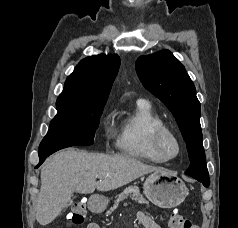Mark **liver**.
I'll return each mask as SVG.
<instances>
[{
	"label": "liver",
	"mask_w": 238,
	"mask_h": 228,
	"mask_svg": "<svg viewBox=\"0 0 238 228\" xmlns=\"http://www.w3.org/2000/svg\"><path fill=\"white\" fill-rule=\"evenodd\" d=\"M162 171L126 155L86 153L74 149L61 151L41 169V188L35 203L36 220L40 225L54 221L71 203L73 192L110 191L148 173Z\"/></svg>",
	"instance_id": "6515ba94"
}]
</instances>
